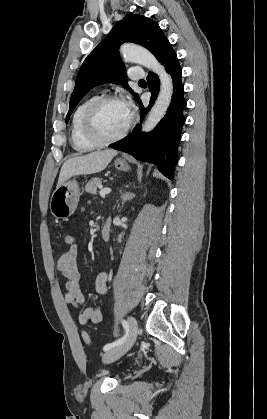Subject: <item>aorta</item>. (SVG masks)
I'll list each match as a JSON object with an SVG mask.
<instances>
[{"instance_id":"aorta-1","label":"aorta","mask_w":267,"mask_h":419,"mask_svg":"<svg viewBox=\"0 0 267 419\" xmlns=\"http://www.w3.org/2000/svg\"><path fill=\"white\" fill-rule=\"evenodd\" d=\"M120 50L126 61L144 66L156 73L160 79L158 97L143 124V131L149 132L161 121L171 103L173 95L172 78L148 50L133 44H124Z\"/></svg>"}]
</instances>
